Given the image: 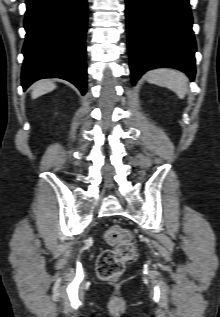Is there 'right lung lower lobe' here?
<instances>
[{
    "label": "right lung lower lobe",
    "mask_w": 220,
    "mask_h": 317,
    "mask_svg": "<svg viewBox=\"0 0 220 317\" xmlns=\"http://www.w3.org/2000/svg\"><path fill=\"white\" fill-rule=\"evenodd\" d=\"M22 86L62 78L86 92V0H26Z\"/></svg>",
    "instance_id": "obj_1"
}]
</instances>
